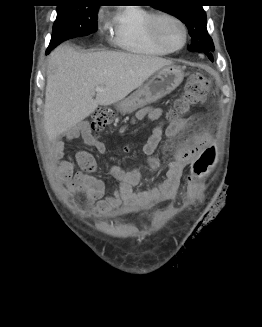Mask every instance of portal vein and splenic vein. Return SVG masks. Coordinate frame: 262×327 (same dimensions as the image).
<instances>
[{"instance_id": "portal-vein-and-splenic-vein-1", "label": "portal vein and splenic vein", "mask_w": 262, "mask_h": 327, "mask_svg": "<svg viewBox=\"0 0 262 327\" xmlns=\"http://www.w3.org/2000/svg\"><path fill=\"white\" fill-rule=\"evenodd\" d=\"M95 91H96V92L104 91V88H102V87H96V88H95Z\"/></svg>"}]
</instances>
